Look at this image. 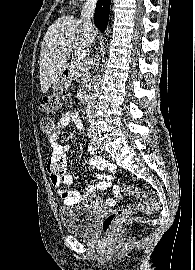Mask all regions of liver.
<instances>
[{"label": "liver", "mask_w": 195, "mask_h": 270, "mask_svg": "<svg viewBox=\"0 0 195 270\" xmlns=\"http://www.w3.org/2000/svg\"><path fill=\"white\" fill-rule=\"evenodd\" d=\"M96 34L93 26L87 27L72 16H62L48 28L39 59L42 93H46L63 73L71 52L88 48Z\"/></svg>", "instance_id": "6515ba94"}]
</instances>
